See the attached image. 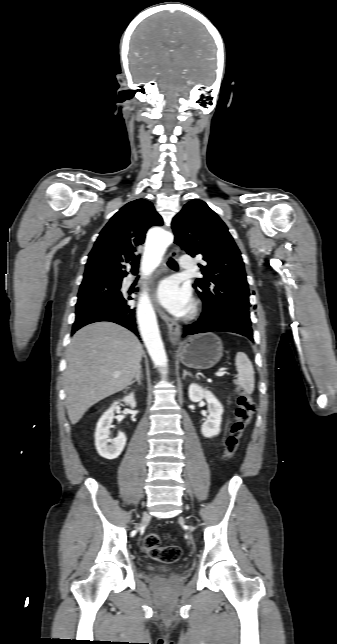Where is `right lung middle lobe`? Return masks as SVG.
<instances>
[{"mask_svg":"<svg viewBox=\"0 0 337 644\" xmlns=\"http://www.w3.org/2000/svg\"><path fill=\"white\" fill-rule=\"evenodd\" d=\"M121 279L98 278L83 281L78 293L76 307L110 299L121 294Z\"/></svg>","mask_w":337,"mask_h":644,"instance_id":"dd1d6c3e","label":"right lung middle lobe"}]
</instances>
